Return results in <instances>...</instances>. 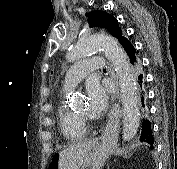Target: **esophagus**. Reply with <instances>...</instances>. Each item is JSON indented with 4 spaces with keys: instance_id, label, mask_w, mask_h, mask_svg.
I'll return each instance as SVG.
<instances>
[{
    "instance_id": "obj_1",
    "label": "esophagus",
    "mask_w": 177,
    "mask_h": 169,
    "mask_svg": "<svg viewBox=\"0 0 177 169\" xmlns=\"http://www.w3.org/2000/svg\"><path fill=\"white\" fill-rule=\"evenodd\" d=\"M113 100H116V97H113ZM113 125H114V119H111L106 126V129L103 133V137H106L110 133V131L113 128Z\"/></svg>"
}]
</instances>
